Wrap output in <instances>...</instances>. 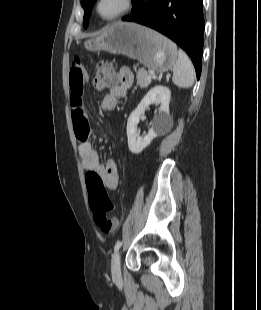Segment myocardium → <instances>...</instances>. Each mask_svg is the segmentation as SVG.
I'll use <instances>...</instances> for the list:
<instances>
[{"label":"myocardium","instance_id":"myocardium-1","mask_svg":"<svg viewBox=\"0 0 261 310\" xmlns=\"http://www.w3.org/2000/svg\"><path fill=\"white\" fill-rule=\"evenodd\" d=\"M102 2L103 0H96L94 8L97 16L103 21L107 22L114 21L123 17L124 15L129 13L134 6V0H121V6L115 13H113L112 15H103L100 11V6Z\"/></svg>","mask_w":261,"mask_h":310}]
</instances>
